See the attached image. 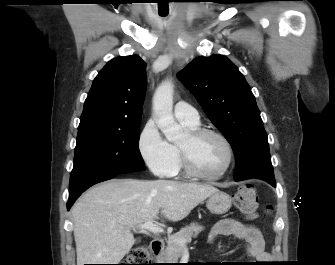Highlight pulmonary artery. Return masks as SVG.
Here are the masks:
<instances>
[{
  "label": "pulmonary artery",
  "instance_id": "pulmonary-artery-1",
  "mask_svg": "<svg viewBox=\"0 0 335 265\" xmlns=\"http://www.w3.org/2000/svg\"><path fill=\"white\" fill-rule=\"evenodd\" d=\"M175 117L189 125H199L200 119L198 111L190 104L180 101L174 108Z\"/></svg>",
  "mask_w": 335,
  "mask_h": 265
}]
</instances>
